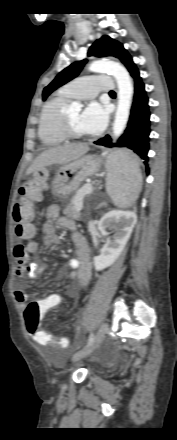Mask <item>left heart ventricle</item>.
<instances>
[{
	"label": "left heart ventricle",
	"instance_id": "b2bd125f",
	"mask_svg": "<svg viewBox=\"0 0 177 440\" xmlns=\"http://www.w3.org/2000/svg\"><path fill=\"white\" fill-rule=\"evenodd\" d=\"M67 115L71 121L74 130L77 131L78 133L84 134V132L79 127L80 112L75 110H68Z\"/></svg>",
	"mask_w": 177,
	"mask_h": 440
}]
</instances>
